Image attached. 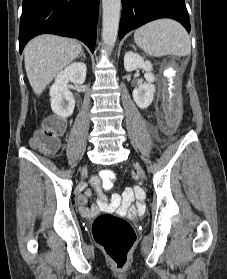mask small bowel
Listing matches in <instances>:
<instances>
[{
    "label": "small bowel",
    "instance_id": "1",
    "mask_svg": "<svg viewBox=\"0 0 227 279\" xmlns=\"http://www.w3.org/2000/svg\"><path fill=\"white\" fill-rule=\"evenodd\" d=\"M91 186L98 193V200L96 205L80 206L79 212L83 216H90L91 214L97 213L99 210L117 211L120 214H128L129 216H134L136 213L140 212L145 208V202L137 201L133 207L131 203L133 201L132 195L124 193L125 197L121 200L119 194H114L110 198L104 193L103 188L99 184L98 178L94 177L91 181ZM133 191L138 193L140 190L138 187H134ZM90 192H87L79 196L80 203H86L90 197Z\"/></svg>",
    "mask_w": 227,
    "mask_h": 279
}]
</instances>
